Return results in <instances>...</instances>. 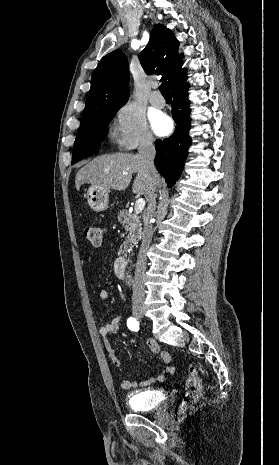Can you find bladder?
<instances>
[{"mask_svg":"<svg viewBox=\"0 0 279 465\" xmlns=\"http://www.w3.org/2000/svg\"><path fill=\"white\" fill-rule=\"evenodd\" d=\"M167 396L161 390H142L131 392L127 396V402L132 411L148 412L163 409Z\"/></svg>","mask_w":279,"mask_h":465,"instance_id":"obj_1","label":"bladder"}]
</instances>
